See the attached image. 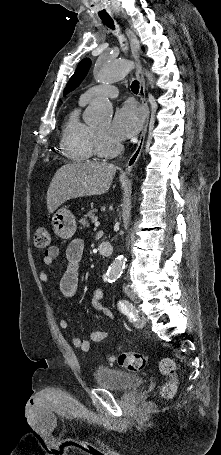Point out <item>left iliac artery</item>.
Returning <instances> with one entry per match:
<instances>
[{
    "mask_svg": "<svg viewBox=\"0 0 221 455\" xmlns=\"http://www.w3.org/2000/svg\"><path fill=\"white\" fill-rule=\"evenodd\" d=\"M117 305L119 310L129 317L130 321L136 320V317L138 316V311L129 301L120 300L118 301Z\"/></svg>",
    "mask_w": 221,
    "mask_h": 455,
    "instance_id": "1",
    "label": "left iliac artery"
}]
</instances>
